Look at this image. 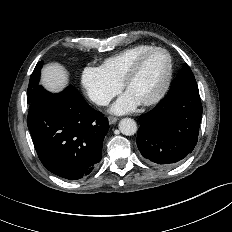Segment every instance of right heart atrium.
Listing matches in <instances>:
<instances>
[{
	"instance_id": "1",
	"label": "right heart atrium",
	"mask_w": 232,
	"mask_h": 232,
	"mask_svg": "<svg viewBox=\"0 0 232 232\" xmlns=\"http://www.w3.org/2000/svg\"><path fill=\"white\" fill-rule=\"evenodd\" d=\"M81 84L88 97L98 105L108 104L121 89V84L109 77L101 67L84 68Z\"/></svg>"
}]
</instances>
